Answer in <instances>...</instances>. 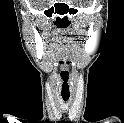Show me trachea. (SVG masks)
<instances>
[{"label":"trachea","mask_w":124,"mask_h":123,"mask_svg":"<svg viewBox=\"0 0 124 123\" xmlns=\"http://www.w3.org/2000/svg\"><path fill=\"white\" fill-rule=\"evenodd\" d=\"M62 98H63V100H64L65 102H67V101L69 100V96H66V97L63 96Z\"/></svg>","instance_id":"obj_1"}]
</instances>
